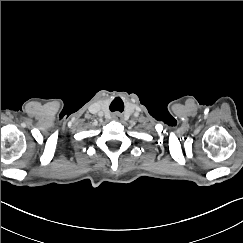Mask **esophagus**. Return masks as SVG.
I'll list each match as a JSON object with an SVG mask.
<instances>
[{"label":"esophagus","mask_w":243,"mask_h":243,"mask_svg":"<svg viewBox=\"0 0 243 243\" xmlns=\"http://www.w3.org/2000/svg\"><path fill=\"white\" fill-rule=\"evenodd\" d=\"M113 120H115V121H121L122 120V117H121V115L120 114H114L113 115Z\"/></svg>","instance_id":"obj_1"}]
</instances>
